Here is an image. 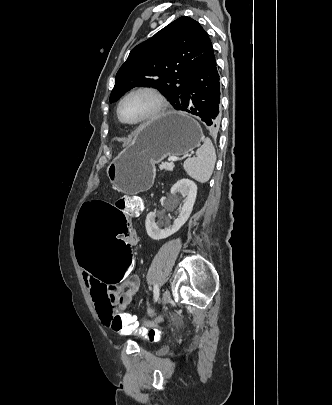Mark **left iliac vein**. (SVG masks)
I'll return each instance as SVG.
<instances>
[{
	"instance_id": "1",
	"label": "left iliac vein",
	"mask_w": 332,
	"mask_h": 405,
	"mask_svg": "<svg viewBox=\"0 0 332 405\" xmlns=\"http://www.w3.org/2000/svg\"><path fill=\"white\" fill-rule=\"evenodd\" d=\"M170 298H171L170 292L168 290H165L163 292V295H162V298H161V305L165 306L166 304H168L169 301H170Z\"/></svg>"
}]
</instances>
